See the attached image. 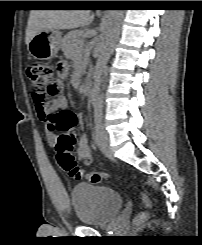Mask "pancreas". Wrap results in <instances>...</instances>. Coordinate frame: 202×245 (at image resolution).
<instances>
[{
    "instance_id": "cf45deb5",
    "label": "pancreas",
    "mask_w": 202,
    "mask_h": 245,
    "mask_svg": "<svg viewBox=\"0 0 202 245\" xmlns=\"http://www.w3.org/2000/svg\"><path fill=\"white\" fill-rule=\"evenodd\" d=\"M83 47L82 34L79 31L69 32L61 42V49L67 58L75 59Z\"/></svg>"
}]
</instances>
